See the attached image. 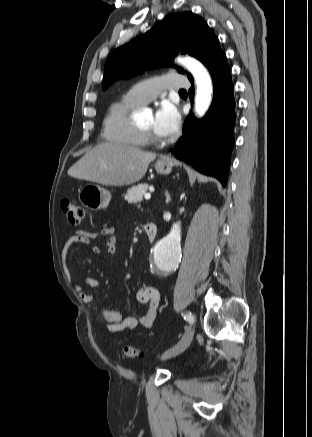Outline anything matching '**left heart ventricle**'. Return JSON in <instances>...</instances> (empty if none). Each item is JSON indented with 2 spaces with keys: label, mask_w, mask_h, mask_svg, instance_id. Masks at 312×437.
Segmentation results:
<instances>
[{
  "label": "left heart ventricle",
  "mask_w": 312,
  "mask_h": 437,
  "mask_svg": "<svg viewBox=\"0 0 312 437\" xmlns=\"http://www.w3.org/2000/svg\"><path fill=\"white\" fill-rule=\"evenodd\" d=\"M153 122H154V117L152 115L147 116L146 118L143 119V121L140 123V127L143 129H147V130H154L153 129Z\"/></svg>",
  "instance_id": "left-heart-ventricle-1"
}]
</instances>
